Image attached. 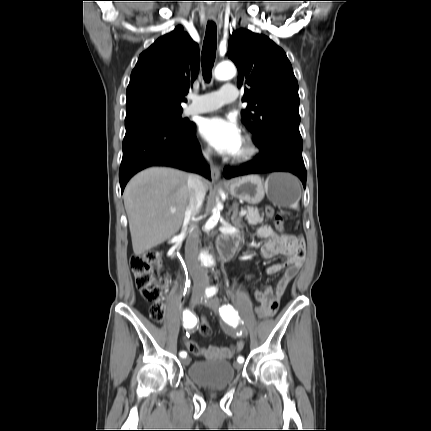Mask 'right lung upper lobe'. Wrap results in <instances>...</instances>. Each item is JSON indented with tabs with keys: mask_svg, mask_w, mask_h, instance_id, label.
<instances>
[{
	"mask_svg": "<svg viewBox=\"0 0 431 431\" xmlns=\"http://www.w3.org/2000/svg\"><path fill=\"white\" fill-rule=\"evenodd\" d=\"M199 46L177 26L139 56L126 91L125 120L182 111L199 72Z\"/></svg>",
	"mask_w": 431,
	"mask_h": 431,
	"instance_id": "right-lung-upper-lobe-1",
	"label": "right lung upper lobe"
}]
</instances>
